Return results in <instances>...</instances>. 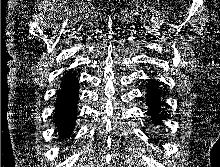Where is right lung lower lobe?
Instances as JSON below:
<instances>
[{
	"mask_svg": "<svg viewBox=\"0 0 220 167\" xmlns=\"http://www.w3.org/2000/svg\"><path fill=\"white\" fill-rule=\"evenodd\" d=\"M77 78L70 71L61 81V89L57 92L55 104V122L61 137L70 135L76 121L78 100Z\"/></svg>",
	"mask_w": 220,
	"mask_h": 167,
	"instance_id": "1",
	"label": "right lung lower lobe"
}]
</instances>
